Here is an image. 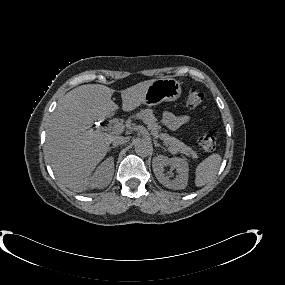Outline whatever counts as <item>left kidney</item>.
Here are the masks:
<instances>
[{
    "label": "left kidney",
    "instance_id": "left-kidney-1",
    "mask_svg": "<svg viewBox=\"0 0 285 285\" xmlns=\"http://www.w3.org/2000/svg\"><path fill=\"white\" fill-rule=\"evenodd\" d=\"M165 166L176 169L178 176L175 180H170L169 176H165ZM152 167L156 178L165 187L173 190H181L187 186L189 166L186 159L178 157L169 159L166 156L159 155L153 159Z\"/></svg>",
    "mask_w": 285,
    "mask_h": 285
}]
</instances>
